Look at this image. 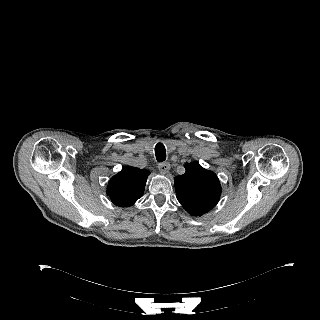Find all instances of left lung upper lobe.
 Wrapping results in <instances>:
<instances>
[{"instance_id": "1", "label": "left lung upper lobe", "mask_w": 320, "mask_h": 320, "mask_svg": "<svg viewBox=\"0 0 320 320\" xmlns=\"http://www.w3.org/2000/svg\"><path fill=\"white\" fill-rule=\"evenodd\" d=\"M185 169L183 175L174 178L177 199L189 214L201 216L219 201L222 191L219 179L198 162L186 163Z\"/></svg>"}]
</instances>
